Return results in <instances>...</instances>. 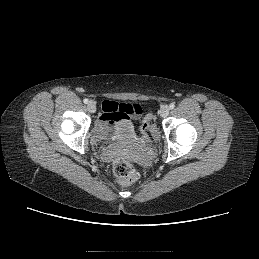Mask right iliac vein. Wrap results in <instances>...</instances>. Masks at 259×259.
I'll list each match as a JSON object with an SVG mask.
<instances>
[{
    "mask_svg": "<svg viewBox=\"0 0 259 259\" xmlns=\"http://www.w3.org/2000/svg\"><path fill=\"white\" fill-rule=\"evenodd\" d=\"M87 108L90 113H94L96 111V104L93 101H90L87 104Z\"/></svg>",
    "mask_w": 259,
    "mask_h": 259,
    "instance_id": "right-iliac-vein-1",
    "label": "right iliac vein"
}]
</instances>
